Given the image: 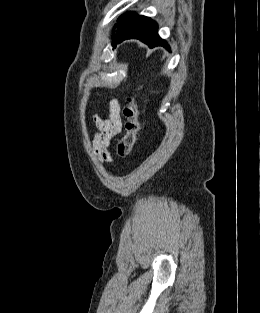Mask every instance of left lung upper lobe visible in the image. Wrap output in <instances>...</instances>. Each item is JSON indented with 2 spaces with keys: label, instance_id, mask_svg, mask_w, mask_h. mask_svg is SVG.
<instances>
[{
  "label": "left lung upper lobe",
  "instance_id": "1",
  "mask_svg": "<svg viewBox=\"0 0 260 313\" xmlns=\"http://www.w3.org/2000/svg\"><path fill=\"white\" fill-rule=\"evenodd\" d=\"M138 18H139V15L135 13H127V14L122 15L118 19V23L115 25V27L117 26L118 29L116 31L115 38H114L112 45H114L115 43L119 41V39L122 37L125 31L131 25H133Z\"/></svg>",
  "mask_w": 260,
  "mask_h": 313
}]
</instances>
